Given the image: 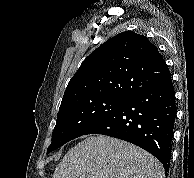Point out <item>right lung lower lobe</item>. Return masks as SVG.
<instances>
[{"label":"right lung lower lobe","mask_w":194,"mask_h":178,"mask_svg":"<svg viewBox=\"0 0 194 178\" xmlns=\"http://www.w3.org/2000/svg\"><path fill=\"white\" fill-rule=\"evenodd\" d=\"M176 113L171 79L132 96L84 135L102 134L131 142L160 160L167 175Z\"/></svg>","instance_id":"right-lung-lower-lobe-1"}]
</instances>
